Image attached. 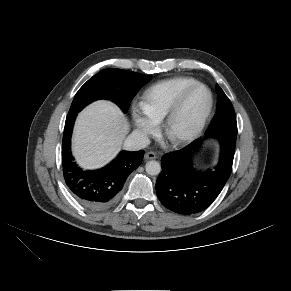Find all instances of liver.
I'll use <instances>...</instances> for the list:
<instances>
[{
    "label": "liver",
    "instance_id": "6515ba94",
    "mask_svg": "<svg viewBox=\"0 0 291 291\" xmlns=\"http://www.w3.org/2000/svg\"><path fill=\"white\" fill-rule=\"evenodd\" d=\"M125 115L113 103L96 101L78 115L72 140L73 154L84 169H96L119 152L128 133Z\"/></svg>",
    "mask_w": 291,
    "mask_h": 291
}]
</instances>
